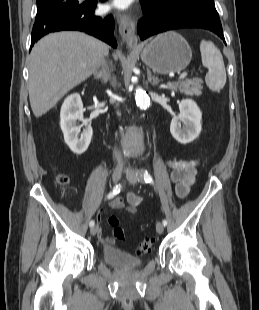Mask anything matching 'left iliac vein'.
I'll return each instance as SVG.
<instances>
[{"label":"left iliac vein","instance_id":"1","mask_svg":"<svg viewBox=\"0 0 259 310\" xmlns=\"http://www.w3.org/2000/svg\"><path fill=\"white\" fill-rule=\"evenodd\" d=\"M126 177L129 180V182L132 183V184H135L138 181V177H137L136 171L133 168H131V167H128L126 169ZM156 231H157L158 234H162L163 233L164 226H163V224L161 222H157L156 223Z\"/></svg>","mask_w":259,"mask_h":310}]
</instances>
